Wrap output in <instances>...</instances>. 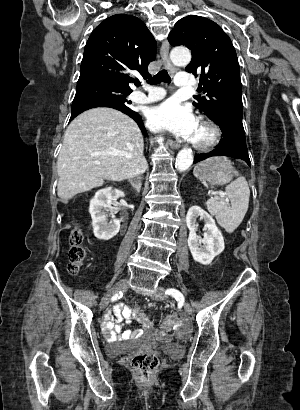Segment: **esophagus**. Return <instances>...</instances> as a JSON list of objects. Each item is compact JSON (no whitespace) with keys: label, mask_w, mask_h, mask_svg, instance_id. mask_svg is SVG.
Returning a JSON list of instances; mask_svg holds the SVG:
<instances>
[{"label":"esophagus","mask_w":300,"mask_h":410,"mask_svg":"<svg viewBox=\"0 0 300 410\" xmlns=\"http://www.w3.org/2000/svg\"><path fill=\"white\" fill-rule=\"evenodd\" d=\"M160 54L162 57V60L165 64V66L167 67V69L170 71V73H175L177 68L171 63L170 59H169V43L167 40H164L162 42L161 48H160ZM169 146L172 149H179L180 145L175 142V141H169Z\"/></svg>","instance_id":"esophagus-1"}]
</instances>
